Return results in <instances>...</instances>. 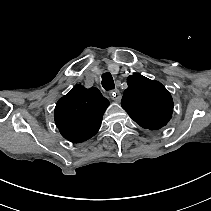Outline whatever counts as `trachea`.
I'll list each match as a JSON object with an SVG mask.
<instances>
[{
  "instance_id": "trachea-1",
  "label": "trachea",
  "mask_w": 211,
  "mask_h": 211,
  "mask_svg": "<svg viewBox=\"0 0 211 211\" xmlns=\"http://www.w3.org/2000/svg\"><path fill=\"white\" fill-rule=\"evenodd\" d=\"M102 86L106 91L114 90L115 84L110 73H104L102 75Z\"/></svg>"
}]
</instances>
